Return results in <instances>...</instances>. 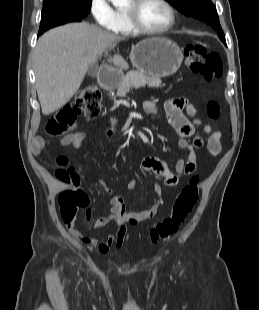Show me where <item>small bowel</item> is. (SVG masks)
<instances>
[{"instance_id":"small-bowel-1","label":"small bowel","mask_w":259,"mask_h":310,"mask_svg":"<svg viewBox=\"0 0 259 310\" xmlns=\"http://www.w3.org/2000/svg\"><path fill=\"white\" fill-rule=\"evenodd\" d=\"M143 110L151 115H156L159 112L157 104L153 101H146L143 104ZM166 117L172 127L179 135V147L187 151L186 159H179L176 162V172H172L168 165L154 157L144 158L139 169L142 172H151L160 176L164 180V186L167 188L175 187L182 175L192 174L198 164V159L195 153L197 148L204 145L203 138L197 133V128L202 127L204 131L210 134L207 141L208 152L211 156H217L221 151V132L213 129L210 125L205 124L202 119L197 116V111L194 106L186 99L173 98L169 99L164 104ZM90 138V134L86 132L77 133L71 136H66L60 139L59 143L62 146H72L79 148L83 146ZM45 147V141L42 138H34L32 140L31 150L35 155H39ZM99 185L105 192L110 191V187L106 181L101 180ZM160 186H156L158 193L155 202L148 209L138 212H128L126 210L124 198L120 195H113L109 201V214L97 218L93 223L94 229H103L110 223H116V229L113 233L105 235L102 239L97 237L82 236L75 224L68 225L70 233L81 240L84 244L90 247H96L98 252L106 254L113 246L122 247L125 242L127 225H135L153 218L159 207L164 203L163 198L159 194ZM87 222H90L91 210L85 212Z\"/></svg>"}]
</instances>
